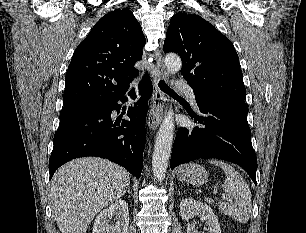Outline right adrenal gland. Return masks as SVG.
<instances>
[{
    "mask_svg": "<svg viewBox=\"0 0 306 233\" xmlns=\"http://www.w3.org/2000/svg\"><path fill=\"white\" fill-rule=\"evenodd\" d=\"M126 192L132 195V192L130 191V188H128Z\"/></svg>",
    "mask_w": 306,
    "mask_h": 233,
    "instance_id": "1",
    "label": "right adrenal gland"
}]
</instances>
